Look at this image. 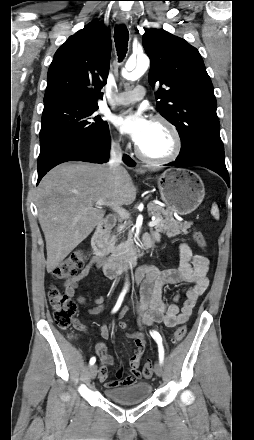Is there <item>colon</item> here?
Segmentation results:
<instances>
[{
  "instance_id": "1",
  "label": "colon",
  "mask_w": 254,
  "mask_h": 440,
  "mask_svg": "<svg viewBox=\"0 0 254 440\" xmlns=\"http://www.w3.org/2000/svg\"><path fill=\"white\" fill-rule=\"evenodd\" d=\"M193 238L197 245L202 249L207 248V241L202 232L196 230L193 233ZM87 259V253L83 249H79L71 253L65 260L59 263L52 271L53 277L57 279H66L75 275V273L84 265ZM49 301L53 311L54 322L58 328L62 330H71L76 327L74 316L76 313L75 302L66 294V292L52 287L49 292ZM187 329L185 326H180L172 336L174 344L180 343L185 337ZM145 377H151L153 374V367L147 363L143 368Z\"/></svg>"
}]
</instances>
